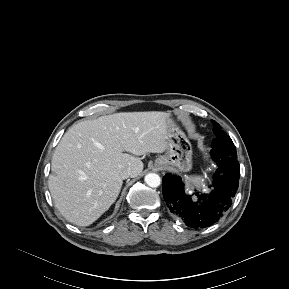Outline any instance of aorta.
I'll use <instances>...</instances> for the list:
<instances>
[{
	"label": "aorta",
	"mask_w": 289,
	"mask_h": 289,
	"mask_svg": "<svg viewBox=\"0 0 289 289\" xmlns=\"http://www.w3.org/2000/svg\"><path fill=\"white\" fill-rule=\"evenodd\" d=\"M145 183L149 186V187H158L161 183V178L158 174L156 173H149L145 176L144 178Z\"/></svg>",
	"instance_id": "1"
}]
</instances>
